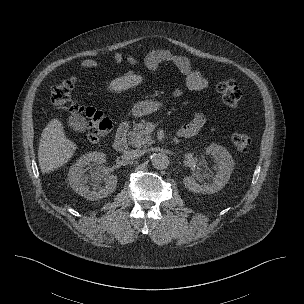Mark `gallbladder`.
<instances>
[{
  "label": "gallbladder",
  "mask_w": 304,
  "mask_h": 304,
  "mask_svg": "<svg viewBox=\"0 0 304 304\" xmlns=\"http://www.w3.org/2000/svg\"><path fill=\"white\" fill-rule=\"evenodd\" d=\"M68 125L75 131L83 132L87 126V121L84 116L80 114H73L68 119Z\"/></svg>",
  "instance_id": "bac80fb5"
}]
</instances>
